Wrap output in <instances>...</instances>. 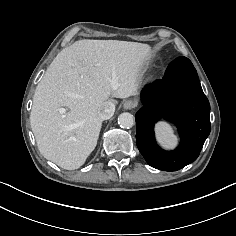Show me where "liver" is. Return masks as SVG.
Returning <instances> with one entry per match:
<instances>
[{
	"instance_id": "1",
	"label": "liver",
	"mask_w": 236,
	"mask_h": 236,
	"mask_svg": "<svg viewBox=\"0 0 236 236\" xmlns=\"http://www.w3.org/2000/svg\"><path fill=\"white\" fill-rule=\"evenodd\" d=\"M149 57L148 45L118 40H79L60 51L33 97L30 123L40 153L63 169L81 167L97 145L99 111L137 93Z\"/></svg>"
}]
</instances>
